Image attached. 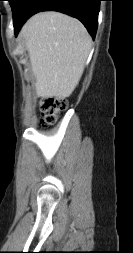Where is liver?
Masks as SVG:
<instances>
[{"label": "liver", "instance_id": "liver-1", "mask_svg": "<svg viewBox=\"0 0 133 253\" xmlns=\"http://www.w3.org/2000/svg\"><path fill=\"white\" fill-rule=\"evenodd\" d=\"M36 94L63 99L72 94L84 71L91 38L83 24L58 12L38 13L23 26Z\"/></svg>", "mask_w": 133, "mask_h": 253}]
</instances>
